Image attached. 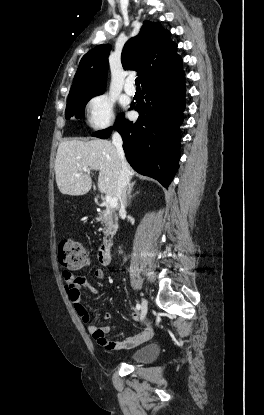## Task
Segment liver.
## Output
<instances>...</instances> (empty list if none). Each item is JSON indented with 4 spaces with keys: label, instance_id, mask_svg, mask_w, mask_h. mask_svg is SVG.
<instances>
[{
    "label": "liver",
    "instance_id": "1",
    "mask_svg": "<svg viewBox=\"0 0 264 415\" xmlns=\"http://www.w3.org/2000/svg\"><path fill=\"white\" fill-rule=\"evenodd\" d=\"M98 170V189L111 197H116L117 182L121 170V160L115 146L108 140H70L59 144L56 160V183L62 194L79 196L87 194L92 186L89 173L83 168ZM129 178L134 170L127 164Z\"/></svg>",
    "mask_w": 264,
    "mask_h": 415
}]
</instances>
